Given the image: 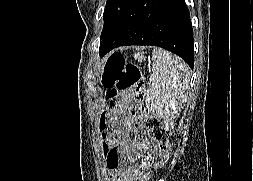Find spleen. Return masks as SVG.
Wrapping results in <instances>:
<instances>
[{"label":"spleen","mask_w":253,"mask_h":181,"mask_svg":"<svg viewBox=\"0 0 253 181\" xmlns=\"http://www.w3.org/2000/svg\"><path fill=\"white\" fill-rule=\"evenodd\" d=\"M152 61L146 109L161 119L176 118L187 100L189 69L181 58L161 48L153 49Z\"/></svg>","instance_id":"spleen-1"}]
</instances>
